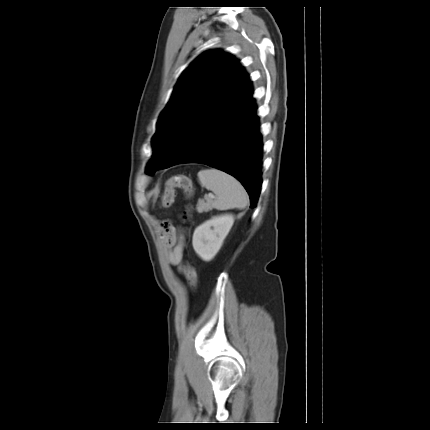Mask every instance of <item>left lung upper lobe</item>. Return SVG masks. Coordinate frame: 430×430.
<instances>
[{
	"label": "left lung upper lobe",
	"mask_w": 430,
	"mask_h": 430,
	"mask_svg": "<svg viewBox=\"0 0 430 430\" xmlns=\"http://www.w3.org/2000/svg\"><path fill=\"white\" fill-rule=\"evenodd\" d=\"M252 97V82L238 60L222 51L202 54L182 73L160 115L146 173L153 174L183 150L203 119L215 114L229 119Z\"/></svg>",
	"instance_id": "left-lung-upper-lobe-1"
}]
</instances>
